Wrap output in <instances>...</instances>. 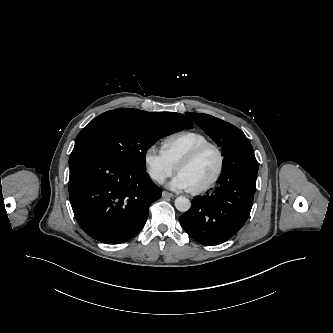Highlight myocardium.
Returning <instances> with one entry per match:
<instances>
[{"label": "myocardium", "mask_w": 333, "mask_h": 333, "mask_svg": "<svg viewBox=\"0 0 333 333\" xmlns=\"http://www.w3.org/2000/svg\"><path fill=\"white\" fill-rule=\"evenodd\" d=\"M208 149H213L217 153L218 166H217L215 174L206 184H204L201 187L189 190L193 194H201V193L207 192L217 183V181L221 177L223 169H224V162H225V157H224V154H223L221 148L218 145L211 143V142L204 143L202 145H199L195 149H193L186 156H184L177 165V171L179 172L182 167L195 161L202 153H204Z\"/></svg>", "instance_id": "1"}]
</instances>
